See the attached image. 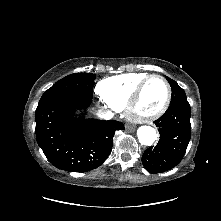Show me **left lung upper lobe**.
Listing matches in <instances>:
<instances>
[{
  "label": "left lung upper lobe",
  "mask_w": 221,
  "mask_h": 221,
  "mask_svg": "<svg viewBox=\"0 0 221 221\" xmlns=\"http://www.w3.org/2000/svg\"><path fill=\"white\" fill-rule=\"evenodd\" d=\"M166 79L170 83L172 89L171 103L178 101H187V97L184 90L177 84V82L170 79L169 77H166Z\"/></svg>",
  "instance_id": "5c2ea615"
}]
</instances>
